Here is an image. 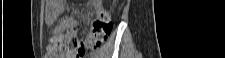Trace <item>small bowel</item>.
Instances as JSON below:
<instances>
[{
	"instance_id": "small-bowel-1",
	"label": "small bowel",
	"mask_w": 225,
	"mask_h": 58,
	"mask_svg": "<svg viewBox=\"0 0 225 58\" xmlns=\"http://www.w3.org/2000/svg\"><path fill=\"white\" fill-rule=\"evenodd\" d=\"M64 4L59 0H47L46 2V18L49 23L57 20L59 13L63 10Z\"/></svg>"
}]
</instances>
